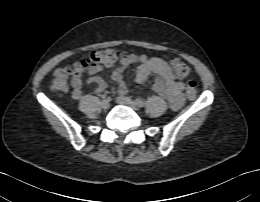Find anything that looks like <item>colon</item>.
I'll use <instances>...</instances> for the list:
<instances>
[{
	"label": "colon",
	"mask_w": 260,
	"mask_h": 202,
	"mask_svg": "<svg viewBox=\"0 0 260 202\" xmlns=\"http://www.w3.org/2000/svg\"><path fill=\"white\" fill-rule=\"evenodd\" d=\"M119 58V51L115 48H103L83 56L71 66L61 67L53 72L50 88L53 91L66 93L70 90V78L82 74L85 70L95 67H111ZM171 67L178 78H187L192 75L191 68L181 59L171 60ZM186 95L193 100L197 96V84L194 80L186 82Z\"/></svg>",
	"instance_id": "5ec220e1"
}]
</instances>
